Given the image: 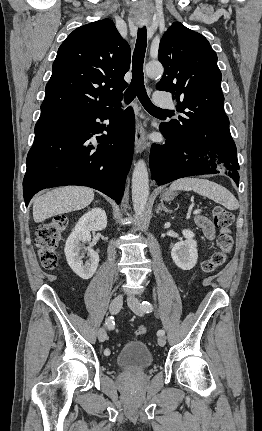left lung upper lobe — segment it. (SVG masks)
I'll use <instances>...</instances> for the list:
<instances>
[{"instance_id":"1","label":"left lung upper lobe","mask_w":262,"mask_h":431,"mask_svg":"<svg viewBox=\"0 0 262 431\" xmlns=\"http://www.w3.org/2000/svg\"><path fill=\"white\" fill-rule=\"evenodd\" d=\"M159 61L164 74L157 89L171 92L177 111L186 115L163 123L165 131L182 142L220 148L231 135L223 107L222 75L207 39L175 22L160 41Z\"/></svg>"}]
</instances>
